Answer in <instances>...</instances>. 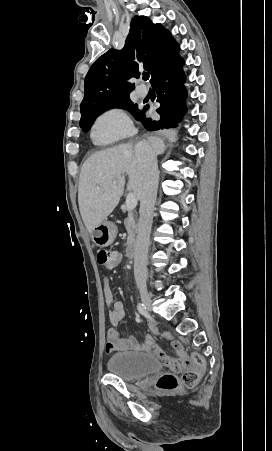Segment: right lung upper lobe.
Returning <instances> with one entry per match:
<instances>
[{"label": "right lung upper lobe", "mask_w": 272, "mask_h": 451, "mask_svg": "<svg viewBox=\"0 0 272 451\" xmlns=\"http://www.w3.org/2000/svg\"><path fill=\"white\" fill-rule=\"evenodd\" d=\"M178 51L179 45L161 24H154L145 16H135L124 48L108 50L89 69L81 113L129 98L134 89L130 80L139 77V70H147L152 82L158 71L178 55Z\"/></svg>", "instance_id": "right-lung-upper-lobe-1"}]
</instances>
